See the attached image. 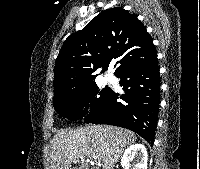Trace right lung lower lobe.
I'll use <instances>...</instances> for the list:
<instances>
[{
  "instance_id": "right-lung-lower-lobe-1",
  "label": "right lung lower lobe",
  "mask_w": 200,
  "mask_h": 169,
  "mask_svg": "<svg viewBox=\"0 0 200 169\" xmlns=\"http://www.w3.org/2000/svg\"><path fill=\"white\" fill-rule=\"evenodd\" d=\"M125 95L111 90L102 105L87 114L85 123L124 127L154 143L160 103V76L157 57L133 66L117 76ZM122 99V101H119Z\"/></svg>"
}]
</instances>
